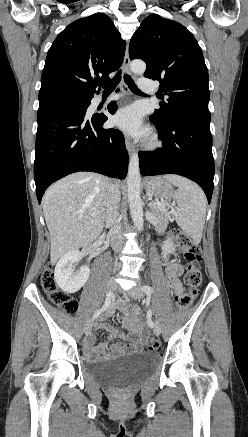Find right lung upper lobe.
<instances>
[{
  "instance_id": "obj_1",
  "label": "right lung upper lobe",
  "mask_w": 248,
  "mask_h": 437,
  "mask_svg": "<svg viewBox=\"0 0 248 437\" xmlns=\"http://www.w3.org/2000/svg\"><path fill=\"white\" fill-rule=\"evenodd\" d=\"M125 48L107 15L95 13L74 21L48 51L39 95L62 91L93 97L97 80H109V74L121 66Z\"/></svg>"
}]
</instances>
